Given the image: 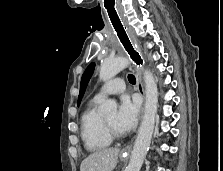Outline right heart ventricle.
<instances>
[{
	"instance_id": "right-heart-ventricle-1",
	"label": "right heart ventricle",
	"mask_w": 223,
	"mask_h": 171,
	"mask_svg": "<svg viewBox=\"0 0 223 171\" xmlns=\"http://www.w3.org/2000/svg\"><path fill=\"white\" fill-rule=\"evenodd\" d=\"M100 99L93 98L86 106L80 119V135L83 144L89 152H99L111 145L112 140L107 136L98 112Z\"/></svg>"
}]
</instances>
